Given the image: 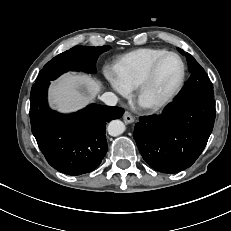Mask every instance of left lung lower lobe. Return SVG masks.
<instances>
[{
	"label": "left lung lower lobe",
	"mask_w": 231,
	"mask_h": 231,
	"mask_svg": "<svg viewBox=\"0 0 231 231\" xmlns=\"http://www.w3.org/2000/svg\"><path fill=\"white\" fill-rule=\"evenodd\" d=\"M214 120V98H175L162 113L141 116L133 137L143 159L154 170L176 173L190 167L202 153Z\"/></svg>",
	"instance_id": "1"
}]
</instances>
